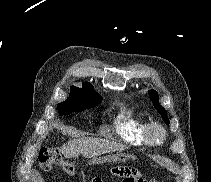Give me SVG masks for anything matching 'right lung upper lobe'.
<instances>
[{"instance_id": "1", "label": "right lung upper lobe", "mask_w": 211, "mask_h": 182, "mask_svg": "<svg viewBox=\"0 0 211 182\" xmlns=\"http://www.w3.org/2000/svg\"><path fill=\"white\" fill-rule=\"evenodd\" d=\"M82 87H83L82 88L83 90H86V91H89V92L94 93L96 95H99L98 93L95 92L94 87L92 86V84H90L88 82H83Z\"/></svg>"}]
</instances>
